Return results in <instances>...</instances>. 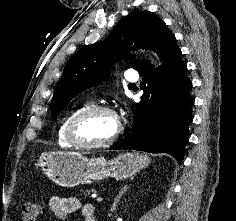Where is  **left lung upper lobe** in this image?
Masks as SVG:
<instances>
[{
	"label": "left lung upper lobe",
	"instance_id": "5c2ea615",
	"mask_svg": "<svg viewBox=\"0 0 236 221\" xmlns=\"http://www.w3.org/2000/svg\"><path fill=\"white\" fill-rule=\"evenodd\" d=\"M169 31L165 22L152 12L133 11L122 19L102 42L77 51L67 62L51 103V114L58 113L72 98L109 77L110 68L119 59L130 60L131 50L155 49L162 35ZM147 61L134 60L139 70Z\"/></svg>",
	"mask_w": 236,
	"mask_h": 221
}]
</instances>
